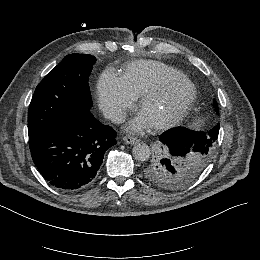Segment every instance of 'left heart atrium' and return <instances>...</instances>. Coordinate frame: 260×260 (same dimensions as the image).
<instances>
[{
    "label": "left heart atrium",
    "instance_id": "39dd6f15",
    "mask_svg": "<svg viewBox=\"0 0 260 260\" xmlns=\"http://www.w3.org/2000/svg\"><path fill=\"white\" fill-rule=\"evenodd\" d=\"M148 127L149 121L144 114H139L137 117L132 119L127 125V129L133 132H141Z\"/></svg>",
    "mask_w": 260,
    "mask_h": 260
}]
</instances>
